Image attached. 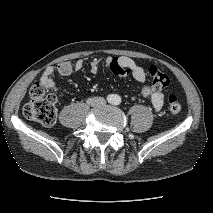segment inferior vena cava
<instances>
[{
  "label": "inferior vena cava",
  "instance_id": "obj_1",
  "mask_svg": "<svg viewBox=\"0 0 213 213\" xmlns=\"http://www.w3.org/2000/svg\"><path fill=\"white\" fill-rule=\"evenodd\" d=\"M87 104L91 106H104L106 100L103 97H92L87 99Z\"/></svg>",
  "mask_w": 213,
  "mask_h": 213
}]
</instances>
